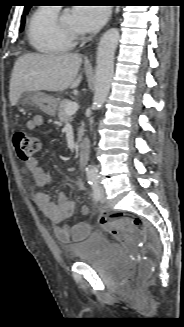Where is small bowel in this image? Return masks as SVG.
I'll return each mask as SVG.
<instances>
[{
  "label": "small bowel",
  "mask_w": 184,
  "mask_h": 327,
  "mask_svg": "<svg viewBox=\"0 0 184 327\" xmlns=\"http://www.w3.org/2000/svg\"><path fill=\"white\" fill-rule=\"evenodd\" d=\"M43 123V116L37 114L33 116L27 123L28 130H36ZM35 184L40 188L33 194V201L42 213L56 225L55 234L57 238L63 242L81 240L90 232L91 225L88 222H78L73 225L61 224L65 220L71 218L75 212V202L65 193H59L53 202L50 198L47 187L51 182V175L46 172L38 163L36 158L26 162ZM80 190L83 184L78 185ZM83 214L88 213V207L83 206L81 209Z\"/></svg>",
  "instance_id": "small-bowel-1"
}]
</instances>
